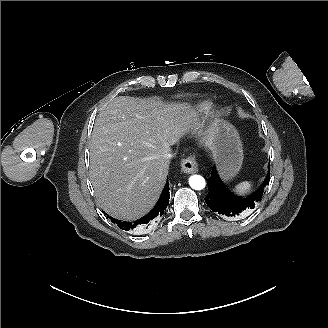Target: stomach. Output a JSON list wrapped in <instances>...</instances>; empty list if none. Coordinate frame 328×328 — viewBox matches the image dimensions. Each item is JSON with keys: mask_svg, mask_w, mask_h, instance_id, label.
Returning <instances> with one entry per match:
<instances>
[{"mask_svg": "<svg viewBox=\"0 0 328 328\" xmlns=\"http://www.w3.org/2000/svg\"><path fill=\"white\" fill-rule=\"evenodd\" d=\"M212 152L218 173L223 181L231 180L241 169L243 144L234 125L216 118L207 131L205 144Z\"/></svg>", "mask_w": 328, "mask_h": 328, "instance_id": "obj_1", "label": "stomach"}]
</instances>
